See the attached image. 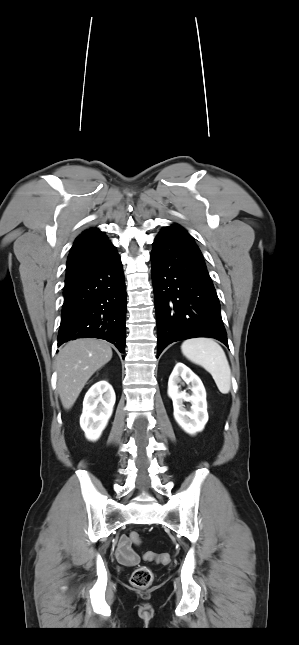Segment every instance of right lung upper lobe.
<instances>
[{
    "label": "right lung upper lobe",
    "mask_w": 299,
    "mask_h": 645,
    "mask_svg": "<svg viewBox=\"0 0 299 645\" xmlns=\"http://www.w3.org/2000/svg\"><path fill=\"white\" fill-rule=\"evenodd\" d=\"M115 255L116 249L104 232L97 228L85 230L76 238L69 253L65 281L90 266L106 262Z\"/></svg>",
    "instance_id": "1"
}]
</instances>
